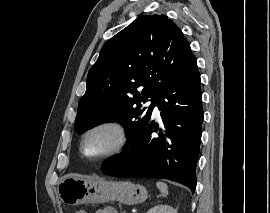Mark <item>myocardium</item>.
<instances>
[{"instance_id":"obj_1","label":"myocardium","mask_w":270,"mask_h":213,"mask_svg":"<svg viewBox=\"0 0 270 213\" xmlns=\"http://www.w3.org/2000/svg\"><path fill=\"white\" fill-rule=\"evenodd\" d=\"M99 131H108L114 135L113 144L98 155H89L85 151V142L89 136ZM127 143V131L122 123L112 119L99 120L82 133L79 141V150L82 156L92 161H102L119 153Z\"/></svg>"}]
</instances>
